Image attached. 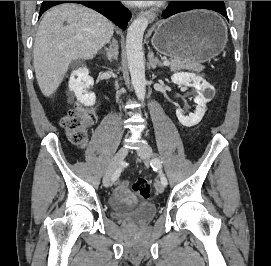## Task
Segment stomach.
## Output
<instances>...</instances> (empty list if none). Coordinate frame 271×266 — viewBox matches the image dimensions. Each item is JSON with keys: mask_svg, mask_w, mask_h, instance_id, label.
<instances>
[{"mask_svg": "<svg viewBox=\"0 0 271 266\" xmlns=\"http://www.w3.org/2000/svg\"><path fill=\"white\" fill-rule=\"evenodd\" d=\"M226 42L225 24L217 14L206 10L181 13L158 22L151 39L158 52L192 63L214 58Z\"/></svg>", "mask_w": 271, "mask_h": 266, "instance_id": "stomach-1", "label": "stomach"}]
</instances>
